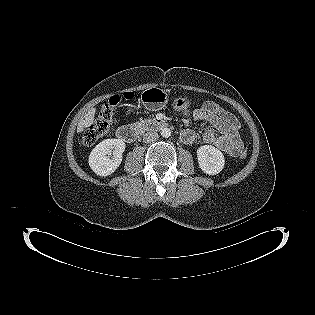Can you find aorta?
<instances>
[{
  "label": "aorta",
  "instance_id": "762f6f07",
  "mask_svg": "<svg viewBox=\"0 0 315 315\" xmlns=\"http://www.w3.org/2000/svg\"><path fill=\"white\" fill-rule=\"evenodd\" d=\"M161 135L164 138H169L171 136V130L169 128H163L161 130Z\"/></svg>",
  "mask_w": 315,
  "mask_h": 315
}]
</instances>
